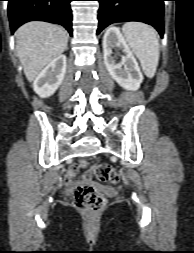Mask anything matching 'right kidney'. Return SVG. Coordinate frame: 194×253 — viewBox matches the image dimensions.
I'll list each match as a JSON object with an SVG mask.
<instances>
[{"label": "right kidney", "instance_id": "right-kidney-1", "mask_svg": "<svg viewBox=\"0 0 194 253\" xmlns=\"http://www.w3.org/2000/svg\"><path fill=\"white\" fill-rule=\"evenodd\" d=\"M66 66L65 55L56 57L36 77L33 90L42 98L53 95L64 79Z\"/></svg>", "mask_w": 194, "mask_h": 253}]
</instances>
